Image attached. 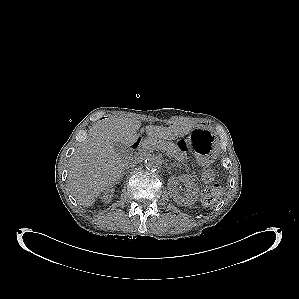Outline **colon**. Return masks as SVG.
Instances as JSON below:
<instances>
[{
  "label": "colon",
  "mask_w": 299,
  "mask_h": 299,
  "mask_svg": "<svg viewBox=\"0 0 299 299\" xmlns=\"http://www.w3.org/2000/svg\"><path fill=\"white\" fill-rule=\"evenodd\" d=\"M215 171L213 169H207L203 173V180L207 183V186L202 191L201 199L206 205L212 204L218 193L219 185L214 182Z\"/></svg>",
  "instance_id": "1"
}]
</instances>
